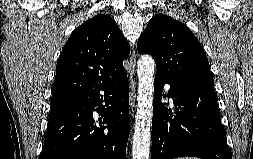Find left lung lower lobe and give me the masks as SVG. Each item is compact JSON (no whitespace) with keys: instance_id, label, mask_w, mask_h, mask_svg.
Here are the masks:
<instances>
[{"instance_id":"1","label":"left lung lower lobe","mask_w":253,"mask_h":159,"mask_svg":"<svg viewBox=\"0 0 253 159\" xmlns=\"http://www.w3.org/2000/svg\"><path fill=\"white\" fill-rule=\"evenodd\" d=\"M175 109L161 102L164 84ZM163 97L165 95L163 94ZM194 156L203 159H232L214 87L155 76L152 119V159Z\"/></svg>"}]
</instances>
